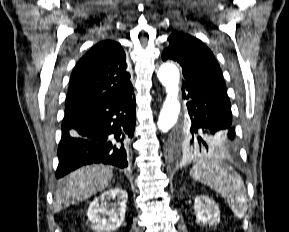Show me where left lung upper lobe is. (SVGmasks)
<instances>
[{
    "label": "left lung upper lobe",
    "mask_w": 289,
    "mask_h": 232,
    "mask_svg": "<svg viewBox=\"0 0 289 232\" xmlns=\"http://www.w3.org/2000/svg\"><path fill=\"white\" fill-rule=\"evenodd\" d=\"M168 40L169 46L163 51L162 59L177 61L183 69L184 79L204 82L225 91L220 66L208 47L183 32H174ZM176 144L185 150L196 152L205 151L207 148L188 127L179 130Z\"/></svg>",
    "instance_id": "left-lung-upper-lobe-1"
}]
</instances>
